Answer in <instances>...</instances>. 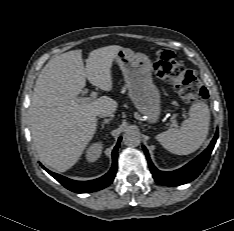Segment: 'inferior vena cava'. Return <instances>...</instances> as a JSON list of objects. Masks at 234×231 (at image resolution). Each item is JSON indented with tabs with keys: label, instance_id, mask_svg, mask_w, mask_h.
<instances>
[{
	"label": "inferior vena cava",
	"instance_id": "obj_1",
	"mask_svg": "<svg viewBox=\"0 0 234 231\" xmlns=\"http://www.w3.org/2000/svg\"><path fill=\"white\" fill-rule=\"evenodd\" d=\"M99 117L104 118V117H113L114 114L109 112V111H101L97 114Z\"/></svg>",
	"mask_w": 234,
	"mask_h": 231
}]
</instances>
